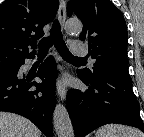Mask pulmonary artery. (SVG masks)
I'll use <instances>...</instances> for the list:
<instances>
[{"mask_svg": "<svg viewBox=\"0 0 144 137\" xmlns=\"http://www.w3.org/2000/svg\"><path fill=\"white\" fill-rule=\"evenodd\" d=\"M70 45H71L72 53L74 55L83 56L87 54V50L83 42L72 41ZM91 61L93 62L94 60H91Z\"/></svg>", "mask_w": 144, "mask_h": 137, "instance_id": "pulmonary-artery-1", "label": "pulmonary artery"}]
</instances>
